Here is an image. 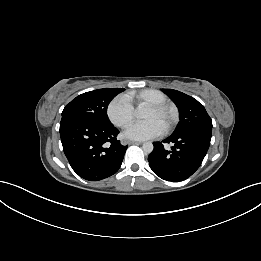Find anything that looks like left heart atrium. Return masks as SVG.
<instances>
[{"instance_id": "39dd6f15", "label": "left heart atrium", "mask_w": 261, "mask_h": 261, "mask_svg": "<svg viewBox=\"0 0 261 261\" xmlns=\"http://www.w3.org/2000/svg\"><path fill=\"white\" fill-rule=\"evenodd\" d=\"M164 133V127L156 120H148L131 124L124 136L133 140H147L158 137Z\"/></svg>"}]
</instances>
